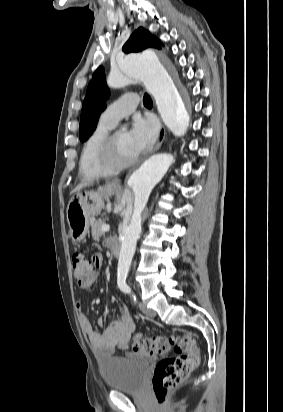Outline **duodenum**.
<instances>
[{
	"instance_id": "410a0bca",
	"label": "duodenum",
	"mask_w": 283,
	"mask_h": 412,
	"mask_svg": "<svg viewBox=\"0 0 283 412\" xmlns=\"http://www.w3.org/2000/svg\"><path fill=\"white\" fill-rule=\"evenodd\" d=\"M113 255H118L121 250V242L118 239H113L112 243L109 245Z\"/></svg>"
}]
</instances>
